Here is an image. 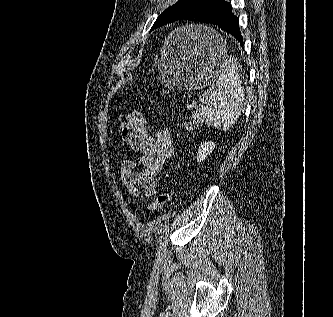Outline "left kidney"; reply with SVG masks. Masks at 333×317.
Segmentation results:
<instances>
[{
  "instance_id": "1",
  "label": "left kidney",
  "mask_w": 333,
  "mask_h": 317,
  "mask_svg": "<svg viewBox=\"0 0 333 317\" xmlns=\"http://www.w3.org/2000/svg\"><path fill=\"white\" fill-rule=\"evenodd\" d=\"M215 144L213 142H204L200 145L197 153V162H202L214 150Z\"/></svg>"
}]
</instances>
